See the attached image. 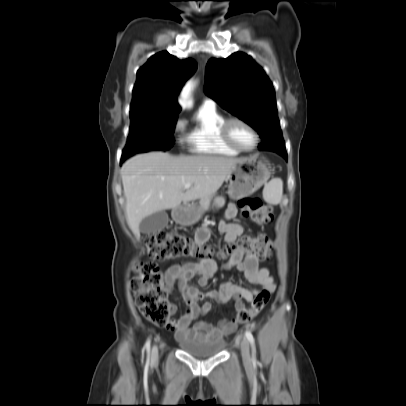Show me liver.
Masks as SVG:
<instances>
[{"label":"liver","mask_w":406,"mask_h":406,"mask_svg":"<svg viewBox=\"0 0 406 406\" xmlns=\"http://www.w3.org/2000/svg\"><path fill=\"white\" fill-rule=\"evenodd\" d=\"M242 159L211 155L175 157L151 152L127 160L121 169L127 223L134 234L147 216L181 202L213 196ZM191 187L183 192L184 185Z\"/></svg>","instance_id":"1"}]
</instances>
